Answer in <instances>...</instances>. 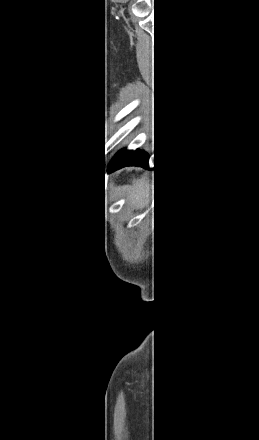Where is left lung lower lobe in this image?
<instances>
[{"instance_id":"1","label":"left lung lower lobe","mask_w":259,"mask_h":440,"mask_svg":"<svg viewBox=\"0 0 259 440\" xmlns=\"http://www.w3.org/2000/svg\"><path fill=\"white\" fill-rule=\"evenodd\" d=\"M147 162L148 155L143 151H126L125 149H123L115 155V157L111 161V164H119L120 167L125 165L146 166Z\"/></svg>"}]
</instances>
